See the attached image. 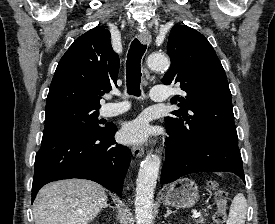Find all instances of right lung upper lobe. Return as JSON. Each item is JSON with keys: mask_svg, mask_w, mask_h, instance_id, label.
Segmentation results:
<instances>
[{"mask_svg": "<svg viewBox=\"0 0 275 224\" xmlns=\"http://www.w3.org/2000/svg\"><path fill=\"white\" fill-rule=\"evenodd\" d=\"M119 64L109 30L97 26L78 37L58 63L46 113L69 106L100 108L103 91L117 86Z\"/></svg>", "mask_w": 275, "mask_h": 224, "instance_id": "cb5924a9", "label": "right lung upper lobe"}]
</instances>
